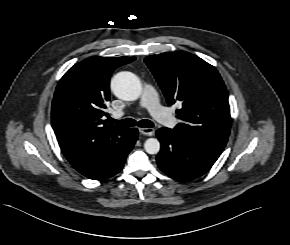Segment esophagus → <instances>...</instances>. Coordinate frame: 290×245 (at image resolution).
I'll list each match as a JSON object with an SVG mask.
<instances>
[{
    "label": "esophagus",
    "mask_w": 290,
    "mask_h": 245,
    "mask_svg": "<svg viewBox=\"0 0 290 245\" xmlns=\"http://www.w3.org/2000/svg\"><path fill=\"white\" fill-rule=\"evenodd\" d=\"M139 132L142 135L153 136L155 134V130L153 128H139Z\"/></svg>",
    "instance_id": "34e87169"
}]
</instances>
